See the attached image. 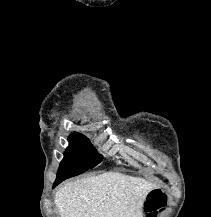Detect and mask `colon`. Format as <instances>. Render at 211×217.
Returning <instances> with one entry per match:
<instances>
[{"instance_id": "obj_1", "label": "colon", "mask_w": 211, "mask_h": 217, "mask_svg": "<svg viewBox=\"0 0 211 217\" xmlns=\"http://www.w3.org/2000/svg\"><path fill=\"white\" fill-rule=\"evenodd\" d=\"M167 196L160 190H153L148 195L145 211L146 217H156L158 212L166 205Z\"/></svg>"}]
</instances>
